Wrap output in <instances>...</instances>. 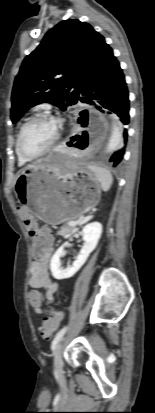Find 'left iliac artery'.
<instances>
[{"mask_svg": "<svg viewBox=\"0 0 155 413\" xmlns=\"http://www.w3.org/2000/svg\"><path fill=\"white\" fill-rule=\"evenodd\" d=\"M67 330V327H63L55 336L54 340L52 341L51 344V349L54 350L56 347V344L59 342V340L62 338V336L65 334Z\"/></svg>", "mask_w": 155, "mask_h": 413, "instance_id": "44dca946", "label": "left iliac artery"}]
</instances>
